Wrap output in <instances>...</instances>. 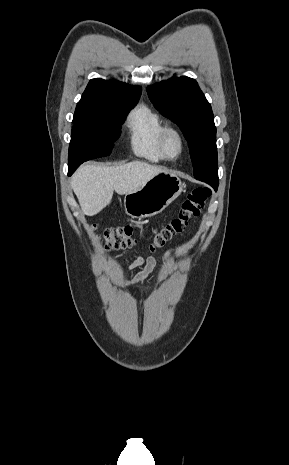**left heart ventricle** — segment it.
Listing matches in <instances>:
<instances>
[{"label":"left heart ventricle","instance_id":"1","mask_svg":"<svg viewBox=\"0 0 289 465\" xmlns=\"http://www.w3.org/2000/svg\"><path fill=\"white\" fill-rule=\"evenodd\" d=\"M179 151V142L176 137L171 136L168 141V152L170 155H175Z\"/></svg>","mask_w":289,"mask_h":465}]
</instances>
